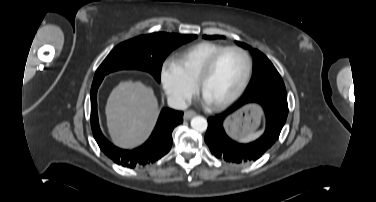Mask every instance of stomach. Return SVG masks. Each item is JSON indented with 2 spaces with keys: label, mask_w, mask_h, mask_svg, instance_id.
<instances>
[{
  "label": "stomach",
  "mask_w": 376,
  "mask_h": 202,
  "mask_svg": "<svg viewBox=\"0 0 376 202\" xmlns=\"http://www.w3.org/2000/svg\"><path fill=\"white\" fill-rule=\"evenodd\" d=\"M260 124V113L250 107L234 113L228 120L229 133L234 137L244 138L252 134Z\"/></svg>",
  "instance_id": "stomach-1"
}]
</instances>
